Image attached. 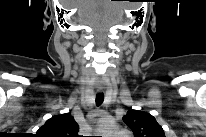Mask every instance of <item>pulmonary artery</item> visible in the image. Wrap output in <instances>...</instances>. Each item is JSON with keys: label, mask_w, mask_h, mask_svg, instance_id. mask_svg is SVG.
Instances as JSON below:
<instances>
[{"label": "pulmonary artery", "mask_w": 206, "mask_h": 137, "mask_svg": "<svg viewBox=\"0 0 206 137\" xmlns=\"http://www.w3.org/2000/svg\"><path fill=\"white\" fill-rule=\"evenodd\" d=\"M112 137H129L128 133L124 130H119L113 133Z\"/></svg>", "instance_id": "1"}]
</instances>
